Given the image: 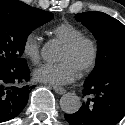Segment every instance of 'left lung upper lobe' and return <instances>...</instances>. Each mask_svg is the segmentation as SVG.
<instances>
[{
  "instance_id": "obj_1",
  "label": "left lung upper lobe",
  "mask_w": 125,
  "mask_h": 125,
  "mask_svg": "<svg viewBox=\"0 0 125 125\" xmlns=\"http://www.w3.org/2000/svg\"><path fill=\"white\" fill-rule=\"evenodd\" d=\"M75 17L97 39L96 65L87 80H95L110 71H125V26L102 12H84Z\"/></svg>"
}]
</instances>
